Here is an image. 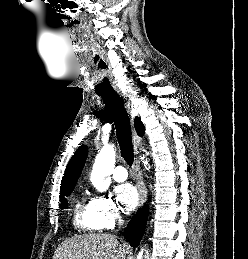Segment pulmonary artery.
I'll list each match as a JSON object with an SVG mask.
<instances>
[{
	"label": "pulmonary artery",
	"instance_id": "e3ab8cb5",
	"mask_svg": "<svg viewBox=\"0 0 248 259\" xmlns=\"http://www.w3.org/2000/svg\"><path fill=\"white\" fill-rule=\"evenodd\" d=\"M113 179L117 182H123L127 179V171L123 166H117L113 170Z\"/></svg>",
	"mask_w": 248,
	"mask_h": 259
}]
</instances>
